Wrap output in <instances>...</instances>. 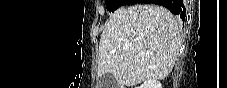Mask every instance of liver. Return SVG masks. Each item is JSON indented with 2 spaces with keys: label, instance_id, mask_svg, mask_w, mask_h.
<instances>
[{
  "label": "liver",
  "instance_id": "liver-1",
  "mask_svg": "<svg viewBox=\"0 0 227 88\" xmlns=\"http://www.w3.org/2000/svg\"><path fill=\"white\" fill-rule=\"evenodd\" d=\"M181 42L180 22L165 7H121L111 15L101 34L98 75L112 74L122 88L149 79H165Z\"/></svg>",
  "mask_w": 227,
  "mask_h": 88
}]
</instances>
